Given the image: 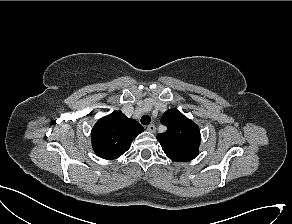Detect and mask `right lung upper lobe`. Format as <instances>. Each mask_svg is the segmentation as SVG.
Masks as SVG:
<instances>
[{
    "label": "right lung upper lobe",
    "instance_id": "obj_1",
    "mask_svg": "<svg viewBox=\"0 0 292 224\" xmlns=\"http://www.w3.org/2000/svg\"><path fill=\"white\" fill-rule=\"evenodd\" d=\"M144 131L134 119L115 111L97 121L91 131L94 152L103 159H116L130 147L132 140Z\"/></svg>",
    "mask_w": 292,
    "mask_h": 224
}]
</instances>
